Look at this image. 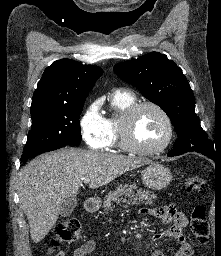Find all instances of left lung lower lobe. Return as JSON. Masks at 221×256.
<instances>
[{
  "label": "left lung lower lobe",
  "instance_id": "0a47b994",
  "mask_svg": "<svg viewBox=\"0 0 221 256\" xmlns=\"http://www.w3.org/2000/svg\"><path fill=\"white\" fill-rule=\"evenodd\" d=\"M191 151H195V152H198V153H201L209 158H211L212 160H218V151H215L214 149H208V148H203V147H197V146H194L190 149H186V150H171L169 153H168V156L172 157V156H177V155H181L183 153H186V152H191Z\"/></svg>",
  "mask_w": 221,
  "mask_h": 256
}]
</instances>
